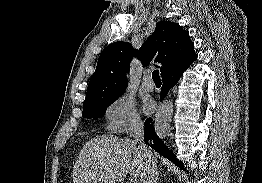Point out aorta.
<instances>
[{
  "label": "aorta",
  "instance_id": "1",
  "mask_svg": "<svg viewBox=\"0 0 262 183\" xmlns=\"http://www.w3.org/2000/svg\"><path fill=\"white\" fill-rule=\"evenodd\" d=\"M173 115V103L170 100L163 101L155 115V131L160 138H165L170 131V123Z\"/></svg>",
  "mask_w": 262,
  "mask_h": 183
}]
</instances>
